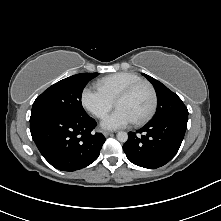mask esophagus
<instances>
[{
    "mask_svg": "<svg viewBox=\"0 0 221 221\" xmlns=\"http://www.w3.org/2000/svg\"><path fill=\"white\" fill-rule=\"evenodd\" d=\"M113 132L112 131H104L103 132V134H104V136H109V135H111Z\"/></svg>",
    "mask_w": 221,
    "mask_h": 221,
    "instance_id": "1",
    "label": "esophagus"
}]
</instances>
